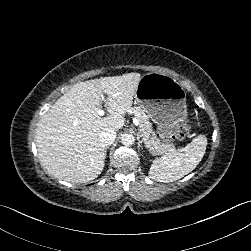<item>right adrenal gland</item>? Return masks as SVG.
Wrapping results in <instances>:
<instances>
[{"label": "right adrenal gland", "mask_w": 251, "mask_h": 251, "mask_svg": "<svg viewBox=\"0 0 251 251\" xmlns=\"http://www.w3.org/2000/svg\"><path fill=\"white\" fill-rule=\"evenodd\" d=\"M104 157H105V159L107 158V147H105V149H104Z\"/></svg>", "instance_id": "right-adrenal-gland-1"}]
</instances>
